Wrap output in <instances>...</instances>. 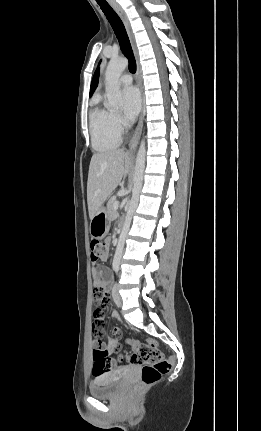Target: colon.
<instances>
[{"label":"colon","instance_id":"1","mask_svg":"<svg viewBox=\"0 0 261 431\" xmlns=\"http://www.w3.org/2000/svg\"><path fill=\"white\" fill-rule=\"evenodd\" d=\"M107 254V243L97 240L91 242L92 261L95 262L101 260ZM92 328L94 327L92 326ZM131 347L132 354L129 357V361L142 367L141 384L136 385L132 389L133 393H138L143 387L157 383L164 374L171 370L172 363L164 357L157 344L152 340L147 341L143 345L131 342ZM94 360L95 363L92 368V373L98 378H101L103 373H114L116 371V362L115 360H109L108 353L106 351L100 349L95 350Z\"/></svg>","mask_w":261,"mask_h":431}]
</instances>
